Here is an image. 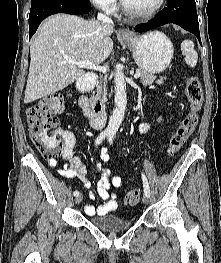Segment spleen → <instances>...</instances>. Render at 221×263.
<instances>
[{
  "mask_svg": "<svg viewBox=\"0 0 221 263\" xmlns=\"http://www.w3.org/2000/svg\"><path fill=\"white\" fill-rule=\"evenodd\" d=\"M181 50L186 64L195 67L198 61V53L194 49V43L191 40H184L181 43Z\"/></svg>",
  "mask_w": 221,
  "mask_h": 263,
  "instance_id": "obj_1",
  "label": "spleen"
}]
</instances>
